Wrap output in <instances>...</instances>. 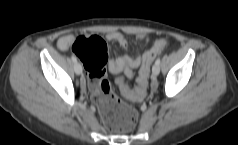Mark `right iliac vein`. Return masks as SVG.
Returning <instances> with one entry per match:
<instances>
[{"label": "right iliac vein", "mask_w": 238, "mask_h": 145, "mask_svg": "<svg viewBox=\"0 0 238 145\" xmlns=\"http://www.w3.org/2000/svg\"><path fill=\"white\" fill-rule=\"evenodd\" d=\"M74 70L77 75H80L82 73V65L76 62L74 66Z\"/></svg>", "instance_id": "obj_1"}]
</instances>
